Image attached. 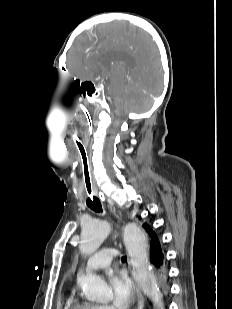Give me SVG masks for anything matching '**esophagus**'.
<instances>
[{"instance_id":"1","label":"esophagus","mask_w":232,"mask_h":309,"mask_svg":"<svg viewBox=\"0 0 232 309\" xmlns=\"http://www.w3.org/2000/svg\"><path fill=\"white\" fill-rule=\"evenodd\" d=\"M137 297H138L137 309H142L144 304V298L139 290H137Z\"/></svg>"}]
</instances>
